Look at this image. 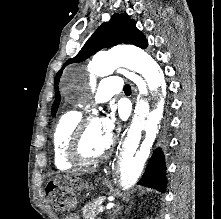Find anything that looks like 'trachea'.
<instances>
[{
    "instance_id": "3493384b",
    "label": "trachea",
    "mask_w": 221,
    "mask_h": 219,
    "mask_svg": "<svg viewBox=\"0 0 221 219\" xmlns=\"http://www.w3.org/2000/svg\"><path fill=\"white\" fill-rule=\"evenodd\" d=\"M124 92H125V94H130L131 93V87H130L129 84H126L124 86Z\"/></svg>"
}]
</instances>
